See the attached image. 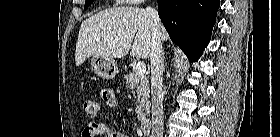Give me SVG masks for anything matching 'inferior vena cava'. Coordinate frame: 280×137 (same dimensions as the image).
<instances>
[{
	"mask_svg": "<svg viewBox=\"0 0 280 137\" xmlns=\"http://www.w3.org/2000/svg\"><path fill=\"white\" fill-rule=\"evenodd\" d=\"M146 12L153 22V38L150 53L151 96H152V134L151 137H163V50L160 36L161 22L156 9L147 7Z\"/></svg>",
	"mask_w": 280,
	"mask_h": 137,
	"instance_id": "602c4592",
	"label": "inferior vena cava"
}]
</instances>
